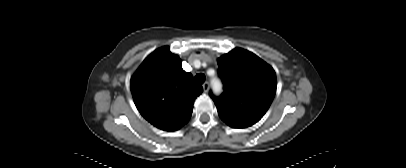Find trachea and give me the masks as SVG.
Returning a JSON list of instances; mask_svg holds the SVG:
<instances>
[{
	"label": "trachea",
	"mask_w": 406,
	"mask_h": 168,
	"mask_svg": "<svg viewBox=\"0 0 406 168\" xmlns=\"http://www.w3.org/2000/svg\"><path fill=\"white\" fill-rule=\"evenodd\" d=\"M195 81H196L198 84H203L204 81H205V75L202 74V73L196 74V76H195Z\"/></svg>",
	"instance_id": "obj_1"
}]
</instances>
